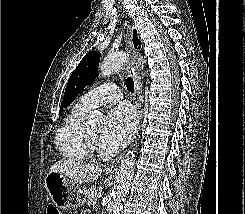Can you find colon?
<instances>
[{
    "label": "colon",
    "instance_id": "obj_1",
    "mask_svg": "<svg viewBox=\"0 0 245 214\" xmlns=\"http://www.w3.org/2000/svg\"><path fill=\"white\" fill-rule=\"evenodd\" d=\"M49 214H61L56 208L50 207Z\"/></svg>",
    "mask_w": 245,
    "mask_h": 214
}]
</instances>
